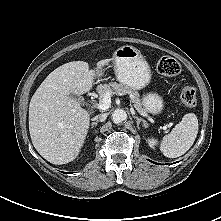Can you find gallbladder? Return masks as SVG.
I'll list each match as a JSON object with an SVG mask.
<instances>
[{"label": "gallbladder", "instance_id": "1", "mask_svg": "<svg viewBox=\"0 0 221 221\" xmlns=\"http://www.w3.org/2000/svg\"><path fill=\"white\" fill-rule=\"evenodd\" d=\"M69 97L77 100L78 102L82 101V98L79 95L70 94Z\"/></svg>", "mask_w": 221, "mask_h": 221}]
</instances>
